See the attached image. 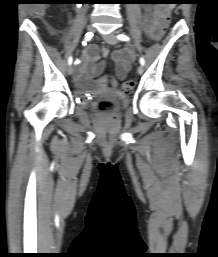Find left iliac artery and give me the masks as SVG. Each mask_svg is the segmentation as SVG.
Returning a JSON list of instances; mask_svg holds the SVG:
<instances>
[{"instance_id": "obj_1", "label": "left iliac artery", "mask_w": 218, "mask_h": 257, "mask_svg": "<svg viewBox=\"0 0 218 257\" xmlns=\"http://www.w3.org/2000/svg\"><path fill=\"white\" fill-rule=\"evenodd\" d=\"M117 38L119 39V40H121V41H129L130 40V38L127 36V35H125V34H118L117 35ZM140 64L143 66L144 64H145V60H144V58L143 57H141L140 58Z\"/></svg>"}]
</instances>
